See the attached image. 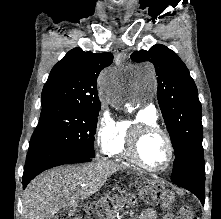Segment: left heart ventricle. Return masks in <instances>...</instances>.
<instances>
[{
	"instance_id": "1",
	"label": "left heart ventricle",
	"mask_w": 221,
	"mask_h": 219,
	"mask_svg": "<svg viewBox=\"0 0 221 219\" xmlns=\"http://www.w3.org/2000/svg\"><path fill=\"white\" fill-rule=\"evenodd\" d=\"M139 154L148 166L163 168L168 159V146L160 134H150L142 140Z\"/></svg>"
}]
</instances>
